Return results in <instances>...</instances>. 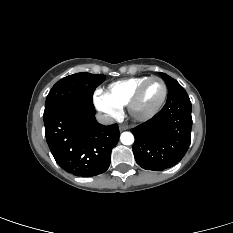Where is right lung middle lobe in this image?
I'll return each instance as SVG.
<instances>
[{
    "instance_id": "obj_1",
    "label": "right lung middle lobe",
    "mask_w": 233,
    "mask_h": 233,
    "mask_svg": "<svg viewBox=\"0 0 233 233\" xmlns=\"http://www.w3.org/2000/svg\"><path fill=\"white\" fill-rule=\"evenodd\" d=\"M105 80L103 74L76 73L59 80L49 92L45 111L49 112L58 106L75 100H93L97 86Z\"/></svg>"
}]
</instances>
